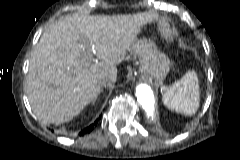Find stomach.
Returning a JSON list of instances; mask_svg holds the SVG:
<instances>
[{
	"label": "stomach",
	"instance_id": "obj_1",
	"mask_svg": "<svg viewBox=\"0 0 240 160\" xmlns=\"http://www.w3.org/2000/svg\"><path fill=\"white\" fill-rule=\"evenodd\" d=\"M141 60V71L157 82H161L169 72L170 60L160 52L155 43L149 39L139 40L135 50Z\"/></svg>",
	"mask_w": 240,
	"mask_h": 160
}]
</instances>
